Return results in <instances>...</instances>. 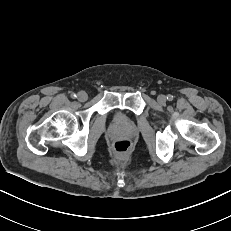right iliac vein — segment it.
<instances>
[{"instance_id":"right-iliac-vein-1","label":"right iliac vein","mask_w":231,"mask_h":231,"mask_svg":"<svg viewBox=\"0 0 231 231\" xmlns=\"http://www.w3.org/2000/svg\"><path fill=\"white\" fill-rule=\"evenodd\" d=\"M87 98H88V95H87V93H86L85 91H80V92H78V94H77V99H78L79 101L84 102V101L87 100Z\"/></svg>"}]
</instances>
